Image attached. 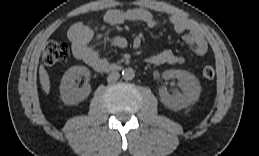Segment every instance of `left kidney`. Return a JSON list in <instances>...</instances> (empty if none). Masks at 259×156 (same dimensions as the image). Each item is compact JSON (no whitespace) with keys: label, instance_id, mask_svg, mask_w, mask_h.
Segmentation results:
<instances>
[{"label":"left kidney","instance_id":"5707ae66","mask_svg":"<svg viewBox=\"0 0 259 156\" xmlns=\"http://www.w3.org/2000/svg\"><path fill=\"white\" fill-rule=\"evenodd\" d=\"M162 77L167 80L171 78L178 79L182 86L183 93L175 96L170 95L165 86L159 89L161 102L173 110H181L194 104L200 96L201 86L198 79L190 72L185 70H166L163 72Z\"/></svg>","mask_w":259,"mask_h":156}]
</instances>
